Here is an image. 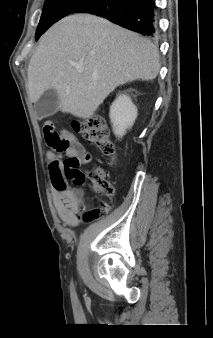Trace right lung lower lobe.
<instances>
[{
	"mask_svg": "<svg viewBox=\"0 0 213 338\" xmlns=\"http://www.w3.org/2000/svg\"><path fill=\"white\" fill-rule=\"evenodd\" d=\"M102 16L124 28L150 38L157 36V7L155 0H92L74 13Z\"/></svg>",
	"mask_w": 213,
	"mask_h": 338,
	"instance_id": "obj_1",
	"label": "right lung lower lobe"
}]
</instances>
